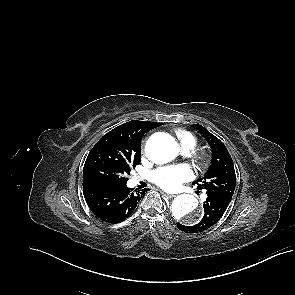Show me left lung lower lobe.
Wrapping results in <instances>:
<instances>
[{"mask_svg": "<svg viewBox=\"0 0 295 295\" xmlns=\"http://www.w3.org/2000/svg\"><path fill=\"white\" fill-rule=\"evenodd\" d=\"M230 201L231 198L226 196L207 194V199L203 205L205 213L202 220L193 226L177 223L178 229L186 233H198L209 229L221 219Z\"/></svg>", "mask_w": 295, "mask_h": 295, "instance_id": "0a47b994", "label": "left lung lower lobe"}]
</instances>
